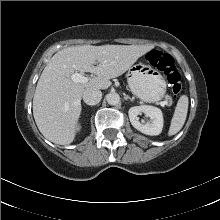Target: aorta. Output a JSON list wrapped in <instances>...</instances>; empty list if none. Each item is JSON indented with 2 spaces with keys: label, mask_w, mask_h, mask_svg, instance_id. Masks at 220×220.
Returning <instances> with one entry per match:
<instances>
[{
  "label": "aorta",
  "mask_w": 220,
  "mask_h": 220,
  "mask_svg": "<svg viewBox=\"0 0 220 220\" xmlns=\"http://www.w3.org/2000/svg\"><path fill=\"white\" fill-rule=\"evenodd\" d=\"M106 100L109 105H118L120 103V96L118 93L112 92L107 94Z\"/></svg>",
  "instance_id": "1"
}]
</instances>
